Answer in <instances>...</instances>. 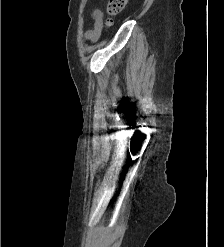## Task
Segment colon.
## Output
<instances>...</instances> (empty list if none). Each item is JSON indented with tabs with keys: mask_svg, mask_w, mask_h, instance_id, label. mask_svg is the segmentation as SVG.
<instances>
[{
	"mask_svg": "<svg viewBox=\"0 0 224 247\" xmlns=\"http://www.w3.org/2000/svg\"><path fill=\"white\" fill-rule=\"evenodd\" d=\"M128 0H109L107 4L108 19L105 22L106 27H110L113 23V17L120 14L127 6Z\"/></svg>",
	"mask_w": 224,
	"mask_h": 247,
	"instance_id": "1",
	"label": "colon"
}]
</instances>
